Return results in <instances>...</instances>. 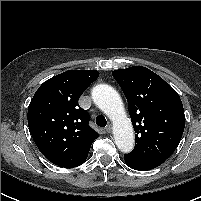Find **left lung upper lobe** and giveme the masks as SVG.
<instances>
[{"instance_id": "5c2ea615", "label": "left lung upper lobe", "mask_w": 201, "mask_h": 201, "mask_svg": "<svg viewBox=\"0 0 201 201\" xmlns=\"http://www.w3.org/2000/svg\"><path fill=\"white\" fill-rule=\"evenodd\" d=\"M127 101L135 130L131 159L164 162L177 148L185 127L183 105L178 93L160 76L142 66L115 70Z\"/></svg>"}]
</instances>
